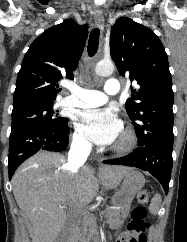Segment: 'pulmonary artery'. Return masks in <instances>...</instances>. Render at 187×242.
Returning a JSON list of instances; mask_svg holds the SVG:
<instances>
[{"label": "pulmonary artery", "instance_id": "1", "mask_svg": "<svg viewBox=\"0 0 187 242\" xmlns=\"http://www.w3.org/2000/svg\"><path fill=\"white\" fill-rule=\"evenodd\" d=\"M68 88L71 95L65 99V103L73 107L88 108L104 104L107 95H116L120 90V83L115 78L107 79L104 92L85 89L77 85H69Z\"/></svg>", "mask_w": 187, "mask_h": 242}]
</instances>
